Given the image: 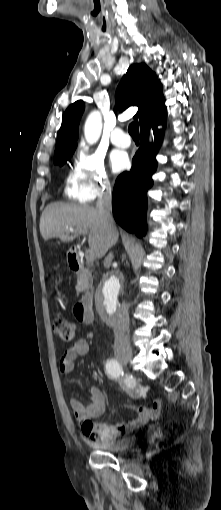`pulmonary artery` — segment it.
<instances>
[{"label":"pulmonary artery","instance_id":"obj_1","mask_svg":"<svg viewBox=\"0 0 221 510\" xmlns=\"http://www.w3.org/2000/svg\"><path fill=\"white\" fill-rule=\"evenodd\" d=\"M112 143L120 148H128L130 146V138L128 133L121 127H115L111 135Z\"/></svg>","mask_w":221,"mask_h":510}]
</instances>
